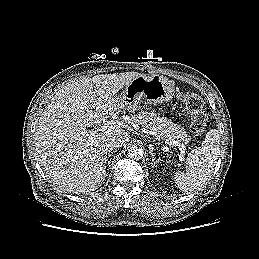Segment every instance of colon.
Masks as SVG:
<instances>
[{
  "label": "colon",
  "instance_id": "colon-1",
  "mask_svg": "<svg viewBox=\"0 0 259 259\" xmlns=\"http://www.w3.org/2000/svg\"><path fill=\"white\" fill-rule=\"evenodd\" d=\"M178 98L190 114L191 130L195 134L202 133L207 124V114L202 98L193 92H181Z\"/></svg>",
  "mask_w": 259,
  "mask_h": 259
}]
</instances>
